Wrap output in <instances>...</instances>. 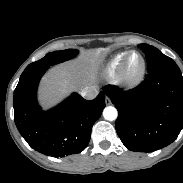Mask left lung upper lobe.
Wrapping results in <instances>:
<instances>
[{"label": "left lung upper lobe", "mask_w": 183, "mask_h": 183, "mask_svg": "<svg viewBox=\"0 0 183 183\" xmlns=\"http://www.w3.org/2000/svg\"><path fill=\"white\" fill-rule=\"evenodd\" d=\"M139 47L146 54L148 72H152L176 64L173 59L164 55L160 50L151 45L140 44Z\"/></svg>", "instance_id": "obj_1"}]
</instances>
